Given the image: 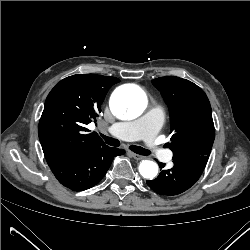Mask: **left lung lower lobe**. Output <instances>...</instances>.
<instances>
[{
    "instance_id": "left-lung-lower-lobe-1",
    "label": "left lung lower lobe",
    "mask_w": 250,
    "mask_h": 250,
    "mask_svg": "<svg viewBox=\"0 0 250 250\" xmlns=\"http://www.w3.org/2000/svg\"><path fill=\"white\" fill-rule=\"evenodd\" d=\"M208 157L194 156L180 159H173L174 166L170 170H162L160 175L147 185L156 193L173 196L189 189L202 174ZM161 168L165 164L159 163Z\"/></svg>"
}]
</instances>
